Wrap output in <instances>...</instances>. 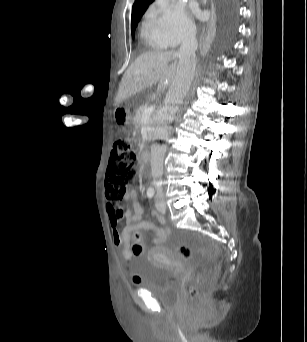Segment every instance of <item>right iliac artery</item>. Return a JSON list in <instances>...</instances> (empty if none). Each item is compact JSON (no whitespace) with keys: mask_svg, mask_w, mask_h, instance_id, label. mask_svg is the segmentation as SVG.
<instances>
[{"mask_svg":"<svg viewBox=\"0 0 307 342\" xmlns=\"http://www.w3.org/2000/svg\"><path fill=\"white\" fill-rule=\"evenodd\" d=\"M154 193H155L154 188H149V189L147 190V196H148V198H152V197L154 196Z\"/></svg>","mask_w":307,"mask_h":342,"instance_id":"obj_1","label":"right iliac artery"}]
</instances>
